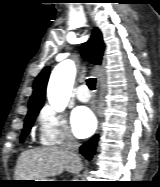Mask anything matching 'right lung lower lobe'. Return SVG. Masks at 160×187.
Masks as SVG:
<instances>
[{"label": "right lung lower lobe", "instance_id": "right-lung-lower-lobe-1", "mask_svg": "<svg viewBox=\"0 0 160 187\" xmlns=\"http://www.w3.org/2000/svg\"><path fill=\"white\" fill-rule=\"evenodd\" d=\"M98 135H95L92 139H90L88 142L83 144L80 147V153L88 160L92 159L93 155L95 154L96 148H97V142H98Z\"/></svg>", "mask_w": 160, "mask_h": 187}]
</instances>
